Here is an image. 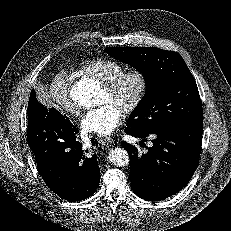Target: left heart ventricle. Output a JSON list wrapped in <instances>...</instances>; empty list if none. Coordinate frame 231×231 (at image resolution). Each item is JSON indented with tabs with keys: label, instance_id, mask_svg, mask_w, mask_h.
Masks as SVG:
<instances>
[{
	"label": "left heart ventricle",
	"instance_id": "b2bd125f",
	"mask_svg": "<svg viewBox=\"0 0 231 231\" xmlns=\"http://www.w3.org/2000/svg\"><path fill=\"white\" fill-rule=\"evenodd\" d=\"M136 88L137 82L134 79H129L125 82L120 92L116 96L109 95L106 90L103 89L101 103L104 104L111 101L122 108V106L132 97Z\"/></svg>",
	"mask_w": 231,
	"mask_h": 231
}]
</instances>
